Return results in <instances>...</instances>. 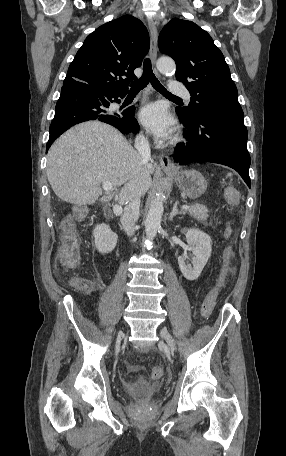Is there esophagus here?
<instances>
[{
    "label": "esophagus",
    "instance_id": "34e87169",
    "mask_svg": "<svg viewBox=\"0 0 286 456\" xmlns=\"http://www.w3.org/2000/svg\"><path fill=\"white\" fill-rule=\"evenodd\" d=\"M149 31H150V51H149V55H150V58H151V61H152L153 65H155L156 58H157L158 32H157L156 25H155V23L153 21H149ZM154 71L158 75V71H157V69L155 67H154ZM159 161H160V165L162 166V168L165 171H168V172L176 171L175 166L171 163L169 157L166 154L161 153L159 155Z\"/></svg>",
    "mask_w": 286,
    "mask_h": 456
}]
</instances>
